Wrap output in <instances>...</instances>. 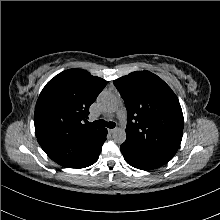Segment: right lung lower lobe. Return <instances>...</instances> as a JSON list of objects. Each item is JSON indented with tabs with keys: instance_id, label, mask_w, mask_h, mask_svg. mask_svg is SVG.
I'll return each instance as SVG.
<instances>
[{
	"instance_id": "right-lung-lower-lobe-1",
	"label": "right lung lower lobe",
	"mask_w": 220,
	"mask_h": 220,
	"mask_svg": "<svg viewBox=\"0 0 220 220\" xmlns=\"http://www.w3.org/2000/svg\"><path fill=\"white\" fill-rule=\"evenodd\" d=\"M106 135H107V129L103 128L102 133L100 134V136L97 138V140L93 143L89 144V150H90V157L88 158L87 161L83 162V163H79L77 165H65V164H61L58 161H55L56 163L64 166V167H68V168H84V167H88L92 164H94L97 160L98 157L100 155L101 152V148L103 143L106 140Z\"/></svg>"
}]
</instances>
